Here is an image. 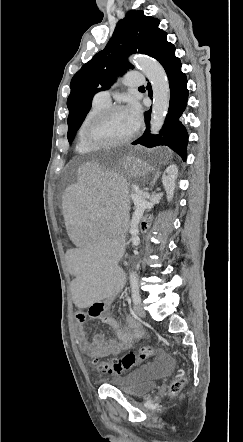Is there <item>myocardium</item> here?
Wrapping results in <instances>:
<instances>
[{"instance_id":"f54148a6","label":"myocardium","mask_w":243,"mask_h":442,"mask_svg":"<svg viewBox=\"0 0 243 442\" xmlns=\"http://www.w3.org/2000/svg\"><path fill=\"white\" fill-rule=\"evenodd\" d=\"M120 110H125V109L121 105H109L88 119L83 129V138L89 146H91L94 149L113 148L125 145L134 139V137L137 134V129H135L134 132L130 134L128 137L111 142H99L95 140L91 135V130L95 124L103 121L104 119L112 115L114 112Z\"/></svg>"}]
</instances>
